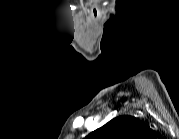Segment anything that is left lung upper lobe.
<instances>
[{
	"label": "left lung upper lobe",
	"instance_id": "left-lung-upper-lobe-1",
	"mask_svg": "<svg viewBox=\"0 0 179 139\" xmlns=\"http://www.w3.org/2000/svg\"><path fill=\"white\" fill-rule=\"evenodd\" d=\"M152 133L150 127L129 115L116 117L90 134L94 139H144Z\"/></svg>",
	"mask_w": 179,
	"mask_h": 139
}]
</instances>
